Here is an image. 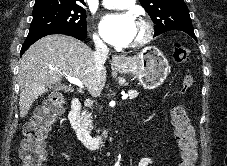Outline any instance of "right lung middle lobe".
I'll use <instances>...</instances> for the list:
<instances>
[{"label":"right lung middle lobe","instance_id":"dd1d6c3e","mask_svg":"<svg viewBox=\"0 0 227 166\" xmlns=\"http://www.w3.org/2000/svg\"><path fill=\"white\" fill-rule=\"evenodd\" d=\"M54 29L87 33L86 14L82 6L56 3L34 5L28 36Z\"/></svg>","mask_w":227,"mask_h":166}]
</instances>
